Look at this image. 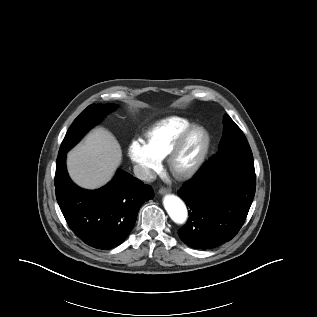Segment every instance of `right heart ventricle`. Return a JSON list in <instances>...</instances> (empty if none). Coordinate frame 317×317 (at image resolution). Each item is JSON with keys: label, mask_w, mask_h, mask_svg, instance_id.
Instances as JSON below:
<instances>
[{"label": "right heart ventricle", "mask_w": 317, "mask_h": 317, "mask_svg": "<svg viewBox=\"0 0 317 317\" xmlns=\"http://www.w3.org/2000/svg\"><path fill=\"white\" fill-rule=\"evenodd\" d=\"M190 126L191 121L181 117L163 119L145 132V143L160 159L165 158L178 137Z\"/></svg>", "instance_id": "obj_1"}]
</instances>
